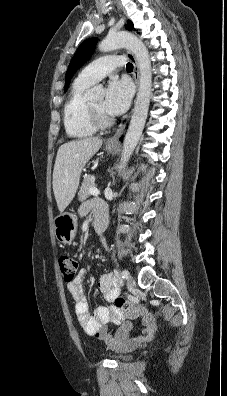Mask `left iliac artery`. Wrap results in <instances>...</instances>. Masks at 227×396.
Here are the masks:
<instances>
[{
	"mask_svg": "<svg viewBox=\"0 0 227 396\" xmlns=\"http://www.w3.org/2000/svg\"><path fill=\"white\" fill-rule=\"evenodd\" d=\"M122 278L127 279L129 277V272L127 270H123L121 272Z\"/></svg>",
	"mask_w": 227,
	"mask_h": 396,
	"instance_id": "44dca946",
	"label": "left iliac artery"
}]
</instances>
